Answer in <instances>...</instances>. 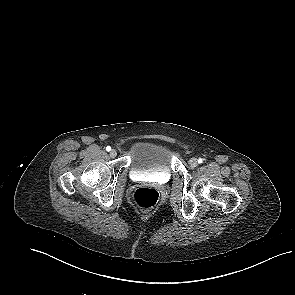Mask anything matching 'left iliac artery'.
Masks as SVG:
<instances>
[{"instance_id":"obj_1","label":"left iliac artery","mask_w":295,"mask_h":295,"mask_svg":"<svg viewBox=\"0 0 295 295\" xmlns=\"http://www.w3.org/2000/svg\"><path fill=\"white\" fill-rule=\"evenodd\" d=\"M203 161H204V159H202V158H199V159H198V162H199V163H203Z\"/></svg>"}]
</instances>
